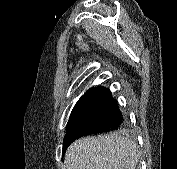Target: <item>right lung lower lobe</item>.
Segmentation results:
<instances>
[{
	"label": "right lung lower lobe",
	"mask_w": 177,
	"mask_h": 169,
	"mask_svg": "<svg viewBox=\"0 0 177 169\" xmlns=\"http://www.w3.org/2000/svg\"><path fill=\"white\" fill-rule=\"evenodd\" d=\"M86 94L89 97L86 107L77 116L69 119L63 152L79 137L116 130L124 122L118 104L112 98L109 89L98 87Z\"/></svg>",
	"instance_id": "98d812e1"
}]
</instances>
